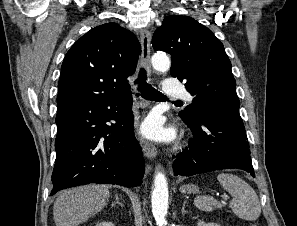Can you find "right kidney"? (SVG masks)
<instances>
[{
  "label": "right kidney",
  "instance_id": "1",
  "mask_svg": "<svg viewBox=\"0 0 297 226\" xmlns=\"http://www.w3.org/2000/svg\"><path fill=\"white\" fill-rule=\"evenodd\" d=\"M96 226H114L112 222H100Z\"/></svg>",
  "mask_w": 297,
  "mask_h": 226
}]
</instances>
